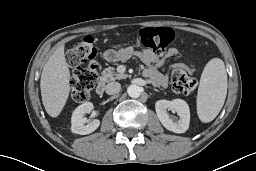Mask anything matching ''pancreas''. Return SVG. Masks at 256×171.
<instances>
[{"label":"pancreas","instance_id":"pancreas-1","mask_svg":"<svg viewBox=\"0 0 256 171\" xmlns=\"http://www.w3.org/2000/svg\"><path fill=\"white\" fill-rule=\"evenodd\" d=\"M126 77V74L118 73L117 71H115V68L109 67L103 70L102 76L100 77V81L102 83H105L109 81L125 79Z\"/></svg>","mask_w":256,"mask_h":171}]
</instances>
